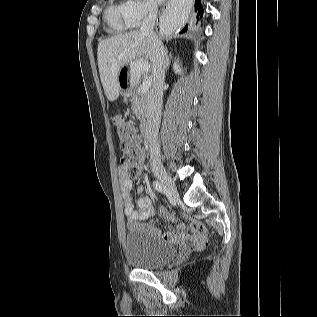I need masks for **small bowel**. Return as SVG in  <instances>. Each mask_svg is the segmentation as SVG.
I'll list each match as a JSON object with an SVG mask.
<instances>
[{
    "instance_id": "1",
    "label": "small bowel",
    "mask_w": 317,
    "mask_h": 317,
    "mask_svg": "<svg viewBox=\"0 0 317 317\" xmlns=\"http://www.w3.org/2000/svg\"><path fill=\"white\" fill-rule=\"evenodd\" d=\"M141 159L143 158V153L140 152ZM119 182L120 189L123 198V210L126 216V222L129 226H134L140 221L149 219L153 215V208L151 200L146 196L143 191V186H140L137 190V210L133 206L131 190H132V180L129 177L125 165L119 167ZM161 215L171 224L177 222L176 218L169 214L166 210H160ZM146 228L154 236H162L165 240L168 241H181L186 245L197 244L200 245L206 240V228L198 220H193L189 233L184 225H178L176 230L168 229L163 234L157 228L151 224H147Z\"/></svg>"
}]
</instances>
